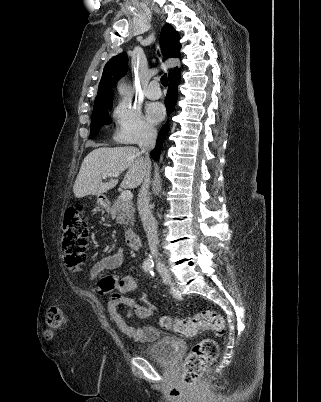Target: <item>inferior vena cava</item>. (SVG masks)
Instances as JSON below:
<instances>
[{
  "label": "inferior vena cava",
  "instance_id": "1",
  "mask_svg": "<svg viewBox=\"0 0 321 402\" xmlns=\"http://www.w3.org/2000/svg\"><path fill=\"white\" fill-rule=\"evenodd\" d=\"M157 139V131L153 128L147 127L139 141V148L141 153L145 155L146 172L145 178L143 180L141 189L139 190L137 207L138 212L143 224V228L147 234L148 245L150 252L154 259H157V245H158V234H157V223L149 207L150 195V171H151V161L149 158V152L154 148ZM157 267H162V263L156 260Z\"/></svg>",
  "mask_w": 321,
  "mask_h": 402
}]
</instances>
